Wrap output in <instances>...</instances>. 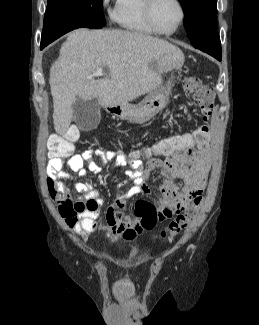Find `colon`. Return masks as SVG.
Wrapping results in <instances>:
<instances>
[{"mask_svg":"<svg viewBox=\"0 0 259 325\" xmlns=\"http://www.w3.org/2000/svg\"><path fill=\"white\" fill-rule=\"evenodd\" d=\"M182 88L187 95L192 97L199 104L205 118H208L214 106L213 91L195 76L185 77L182 81ZM207 134V126H202L199 129L198 135L191 136V131H185V135H179L178 138H161V142L157 143V148L161 150L197 149V142H201ZM79 136V131L76 128H70L60 135H53L48 143L50 152L55 158L59 159L69 155L73 151L74 144L78 141ZM143 154H148V150ZM50 193L54 195L55 191L50 189ZM201 204L202 196L199 195L184 213L179 214L168 227L160 233L159 237L167 241L173 240L193 222ZM134 216L138 219L141 229L149 230L154 227L158 220V210L152 203L145 200H139L135 205Z\"/></svg>","mask_w":259,"mask_h":325,"instance_id":"5ec220e1","label":"colon"}]
</instances>
